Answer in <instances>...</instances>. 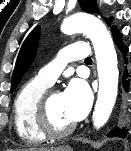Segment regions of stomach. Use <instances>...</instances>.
I'll return each mask as SVG.
<instances>
[{"mask_svg":"<svg viewBox=\"0 0 131 151\" xmlns=\"http://www.w3.org/2000/svg\"><path fill=\"white\" fill-rule=\"evenodd\" d=\"M57 151H72V149L69 146L61 147Z\"/></svg>","mask_w":131,"mask_h":151,"instance_id":"stomach-1","label":"stomach"}]
</instances>
